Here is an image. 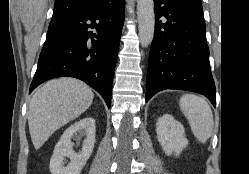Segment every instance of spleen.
<instances>
[{
    "label": "spleen",
    "instance_id": "3e777b00",
    "mask_svg": "<svg viewBox=\"0 0 249 174\" xmlns=\"http://www.w3.org/2000/svg\"><path fill=\"white\" fill-rule=\"evenodd\" d=\"M181 111L188 119L196 139L205 143L213 131V113L204 97L185 94L180 98Z\"/></svg>",
    "mask_w": 249,
    "mask_h": 174
}]
</instances>
